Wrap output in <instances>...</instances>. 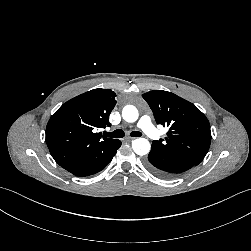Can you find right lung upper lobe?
<instances>
[{"label":"right lung upper lobe","instance_id":"obj_1","mask_svg":"<svg viewBox=\"0 0 251 251\" xmlns=\"http://www.w3.org/2000/svg\"><path fill=\"white\" fill-rule=\"evenodd\" d=\"M116 94L93 89L64 103L50 118L46 143L54 160L64 169L90 159L117 139L105 138L98 129L110 126Z\"/></svg>","mask_w":251,"mask_h":251}]
</instances>
